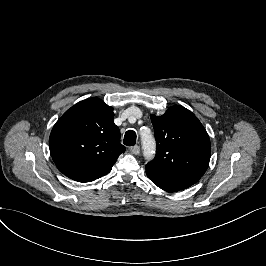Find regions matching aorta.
I'll list each match as a JSON object with an SVG mask.
<instances>
[{"label": "aorta", "mask_w": 266, "mask_h": 266, "mask_svg": "<svg viewBox=\"0 0 266 266\" xmlns=\"http://www.w3.org/2000/svg\"><path fill=\"white\" fill-rule=\"evenodd\" d=\"M144 156L146 157V159H151L153 156V153L151 151H145Z\"/></svg>", "instance_id": "1"}]
</instances>
